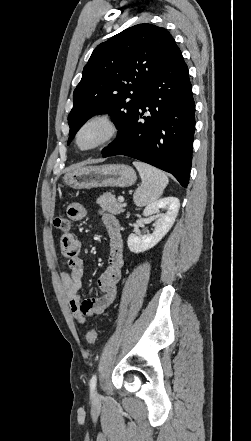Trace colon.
<instances>
[{
    "mask_svg": "<svg viewBox=\"0 0 251 441\" xmlns=\"http://www.w3.org/2000/svg\"><path fill=\"white\" fill-rule=\"evenodd\" d=\"M54 227L62 234L66 236L70 234L71 228V218L69 216H59L53 221ZM98 335V330L96 328L90 329L86 334V341L88 344H94Z\"/></svg>",
    "mask_w": 251,
    "mask_h": 441,
    "instance_id": "1",
    "label": "colon"
}]
</instances>
